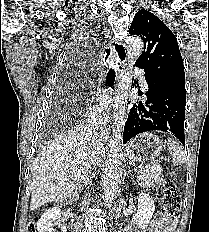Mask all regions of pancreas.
Wrapping results in <instances>:
<instances>
[{
	"mask_svg": "<svg viewBox=\"0 0 209 232\" xmlns=\"http://www.w3.org/2000/svg\"><path fill=\"white\" fill-rule=\"evenodd\" d=\"M162 172L163 169L159 165L155 169L147 167L136 169L137 179L143 188L159 187L162 182Z\"/></svg>",
	"mask_w": 209,
	"mask_h": 232,
	"instance_id": "cf45deb5",
	"label": "pancreas"
}]
</instances>
